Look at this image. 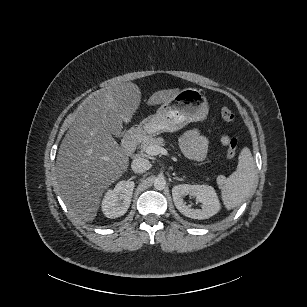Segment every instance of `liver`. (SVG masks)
<instances>
[{"label":"liver","instance_id":"1","mask_svg":"<svg viewBox=\"0 0 307 307\" xmlns=\"http://www.w3.org/2000/svg\"><path fill=\"white\" fill-rule=\"evenodd\" d=\"M178 89L154 93L148 104L171 99ZM140 89L125 82L99 89L82 103L63 138L56 162V180L72 213L84 221L94 219L105 188L127 167L124 150L111 135L122 128L140 102Z\"/></svg>","mask_w":307,"mask_h":307}]
</instances>
